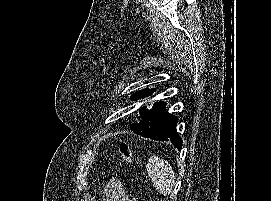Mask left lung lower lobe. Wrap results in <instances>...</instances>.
<instances>
[{
    "instance_id": "0a47b994",
    "label": "left lung lower lobe",
    "mask_w": 271,
    "mask_h": 201,
    "mask_svg": "<svg viewBox=\"0 0 271 201\" xmlns=\"http://www.w3.org/2000/svg\"><path fill=\"white\" fill-rule=\"evenodd\" d=\"M178 122V118L177 117H173L172 123H171V129L169 134L164 137L159 139V141H171V143L178 149L181 150L182 148V139L180 138V136L178 135L177 131H176V125ZM130 129L135 132V133H139L138 129L134 126H130Z\"/></svg>"
}]
</instances>
